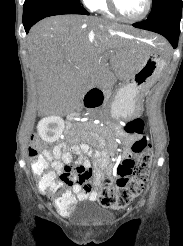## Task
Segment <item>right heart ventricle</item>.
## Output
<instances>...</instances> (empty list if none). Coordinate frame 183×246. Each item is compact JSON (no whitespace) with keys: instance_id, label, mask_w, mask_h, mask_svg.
<instances>
[{"instance_id":"obj_1","label":"right heart ventricle","mask_w":183,"mask_h":246,"mask_svg":"<svg viewBox=\"0 0 183 246\" xmlns=\"http://www.w3.org/2000/svg\"><path fill=\"white\" fill-rule=\"evenodd\" d=\"M90 9H92L93 11H96L102 15H105L107 17H115V15L109 9L107 0H95L92 3V6Z\"/></svg>"}]
</instances>
